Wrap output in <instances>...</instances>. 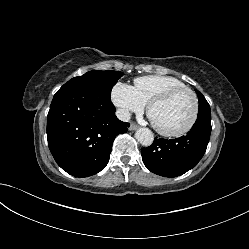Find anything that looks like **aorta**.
Here are the masks:
<instances>
[{
    "mask_svg": "<svg viewBox=\"0 0 249 249\" xmlns=\"http://www.w3.org/2000/svg\"><path fill=\"white\" fill-rule=\"evenodd\" d=\"M135 137L141 145L146 147L150 146L154 141V135L148 128H139L135 133Z\"/></svg>",
    "mask_w": 249,
    "mask_h": 249,
    "instance_id": "aorta-1",
    "label": "aorta"
}]
</instances>
